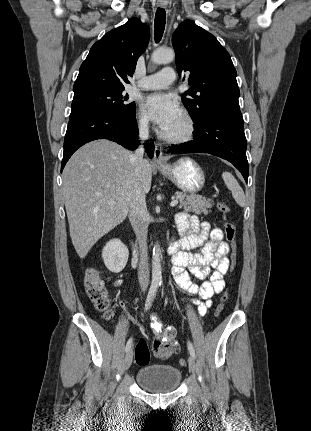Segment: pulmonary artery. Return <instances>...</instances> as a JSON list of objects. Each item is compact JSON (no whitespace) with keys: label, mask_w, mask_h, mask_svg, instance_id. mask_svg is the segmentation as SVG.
Masks as SVG:
<instances>
[{"label":"pulmonary artery","mask_w":311,"mask_h":431,"mask_svg":"<svg viewBox=\"0 0 311 431\" xmlns=\"http://www.w3.org/2000/svg\"><path fill=\"white\" fill-rule=\"evenodd\" d=\"M176 79L175 72L171 67H164L160 71L145 76L139 87L144 90H155L169 87Z\"/></svg>","instance_id":"1"}]
</instances>
